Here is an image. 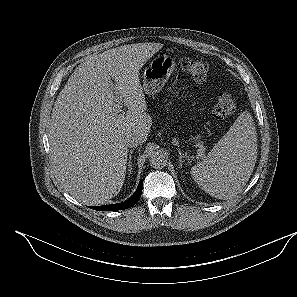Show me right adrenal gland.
I'll return each instance as SVG.
<instances>
[{
    "label": "right adrenal gland",
    "mask_w": 297,
    "mask_h": 297,
    "mask_svg": "<svg viewBox=\"0 0 297 297\" xmlns=\"http://www.w3.org/2000/svg\"><path fill=\"white\" fill-rule=\"evenodd\" d=\"M134 150H130L129 152V157H128V170L131 172L132 171V153Z\"/></svg>",
    "instance_id": "right-adrenal-gland-1"
}]
</instances>
